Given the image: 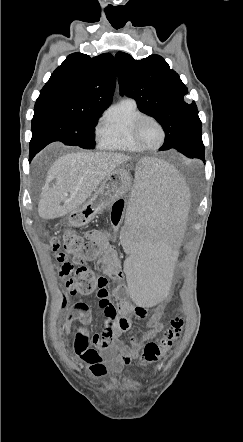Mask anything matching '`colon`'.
<instances>
[{
	"label": "colon",
	"mask_w": 243,
	"mask_h": 442,
	"mask_svg": "<svg viewBox=\"0 0 243 442\" xmlns=\"http://www.w3.org/2000/svg\"><path fill=\"white\" fill-rule=\"evenodd\" d=\"M125 202L117 200L112 208L111 222L114 227L123 221ZM50 245L55 253L60 278L65 282V288L72 295H88L98 288V275L87 265L85 257V242L75 229H68L61 239L51 237ZM73 257V263L69 257ZM184 319L176 317L162 335L146 343L141 357L136 358L137 366H146L168 357L182 334Z\"/></svg>",
	"instance_id": "obj_1"
}]
</instances>
